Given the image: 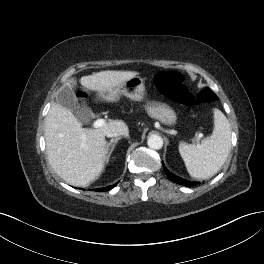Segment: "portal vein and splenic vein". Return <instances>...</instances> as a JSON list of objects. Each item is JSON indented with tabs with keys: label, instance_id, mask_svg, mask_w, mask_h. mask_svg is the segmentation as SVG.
<instances>
[{
	"label": "portal vein and splenic vein",
	"instance_id": "1",
	"mask_svg": "<svg viewBox=\"0 0 264 264\" xmlns=\"http://www.w3.org/2000/svg\"><path fill=\"white\" fill-rule=\"evenodd\" d=\"M106 124L104 119H97L96 121H94L93 123V127L94 128H100L102 126H104Z\"/></svg>",
	"mask_w": 264,
	"mask_h": 264
}]
</instances>
